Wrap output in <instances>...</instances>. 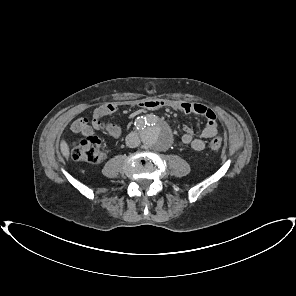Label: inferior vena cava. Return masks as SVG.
<instances>
[{
    "instance_id": "602c4592",
    "label": "inferior vena cava",
    "mask_w": 296,
    "mask_h": 296,
    "mask_svg": "<svg viewBox=\"0 0 296 296\" xmlns=\"http://www.w3.org/2000/svg\"><path fill=\"white\" fill-rule=\"evenodd\" d=\"M125 143L129 148H136L140 143V138L136 132H131L126 136Z\"/></svg>"
}]
</instances>
